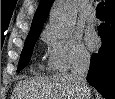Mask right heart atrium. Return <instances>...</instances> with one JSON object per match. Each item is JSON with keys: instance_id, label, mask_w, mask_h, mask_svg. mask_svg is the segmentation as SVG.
I'll use <instances>...</instances> for the list:
<instances>
[{"instance_id": "1", "label": "right heart atrium", "mask_w": 115, "mask_h": 99, "mask_svg": "<svg viewBox=\"0 0 115 99\" xmlns=\"http://www.w3.org/2000/svg\"><path fill=\"white\" fill-rule=\"evenodd\" d=\"M41 37L48 46V66L52 71L64 72L89 59V53L77 35L60 36L47 26Z\"/></svg>"}]
</instances>
